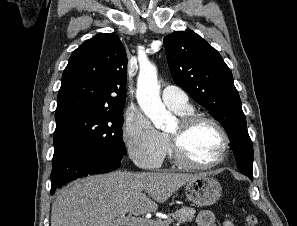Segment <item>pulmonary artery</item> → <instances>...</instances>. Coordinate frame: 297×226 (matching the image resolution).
<instances>
[{
  "instance_id": "pulmonary-artery-1",
  "label": "pulmonary artery",
  "mask_w": 297,
  "mask_h": 226,
  "mask_svg": "<svg viewBox=\"0 0 297 226\" xmlns=\"http://www.w3.org/2000/svg\"><path fill=\"white\" fill-rule=\"evenodd\" d=\"M161 95L164 104L169 108L183 110L190 107L187 94L179 87L166 86Z\"/></svg>"
}]
</instances>
